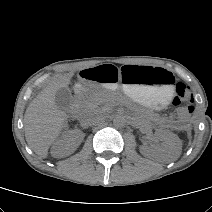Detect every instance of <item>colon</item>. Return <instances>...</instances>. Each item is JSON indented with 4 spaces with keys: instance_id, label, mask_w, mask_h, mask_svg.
<instances>
[{
    "instance_id": "1",
    "label": "colon",
    "mask_w": 212,
    "mask_h": 212,
    "mask_svg": "<svg viewBox=\"0 0 212 212\" xmlns=\"http://www.w3.org/2000/svg\"><path fill=\"white\" fill-rule=\"evenodd\" d=\"M194 96L188 85L178 83L175 89L173 104L177 106L181 114L185 117L189 116L194 110Z\"/></svg>"
}]
</instances>
